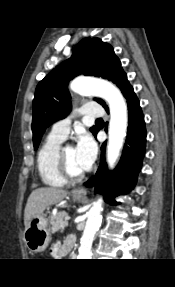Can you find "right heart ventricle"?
<instances>
[{"label":"right heart ventricle","instance_id":"e07e8e85","mask_svg":"<svg viewBox=\"0 0 175 287\" xmlns=\"http://www.w3.org/2000/svg\"><path fill=\"white\" fill-rule=\"evenodd\" d=\"M62 141V139L49 134L39 148L37 170L42 182L47 186L63 187L67 184L57 166V152Z\"/></svg>","mask_w":175,"mask_h":287}]
</instances>
